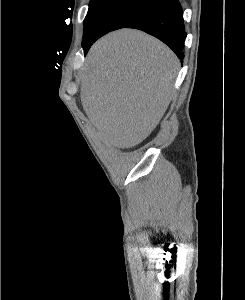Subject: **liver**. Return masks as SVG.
<instances>
[{
	"instance_id": "obj_1",
	"label": "liver",
	"mask_w": 245,
	"mask_h": 300,
	"mask_svg": "<svg viewBox=\"0 0 245 300\" xmlns=\"http://www.w3.org/2000/svg\"><path fill=\"white\" fill-rule=\"evenodd\" d=\"M179 68L176 55L142 31L120 29L95 42L80 95L102 140L123 149L145 140L170 104Z\"/></svg>"
}]
</instances>
